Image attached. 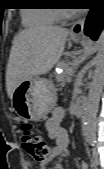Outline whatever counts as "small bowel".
<instances>
[{
    "instance_id": "small-bowel-1",
    "label": "small bowel",
    "mask_w": 104,
    "mask_h": 169,
    "mask_svg": "<svg viewBox=\"0 0 104 169\" xmlns=\"http://www.w3.org/2000/svg\"><path fill=\"white\" fill-rule=\"evenodd\" d=\"M65 112L62 108H55L46 121L48 136L54 141L48 160L40 162L38 169H46L47 163L55 159L65 158L69 155V138L66 129L63 127ZM82 169H87V163L81 162ZM55 169H61V165L56 163Z\"/></svg>"
}]
</instances>
